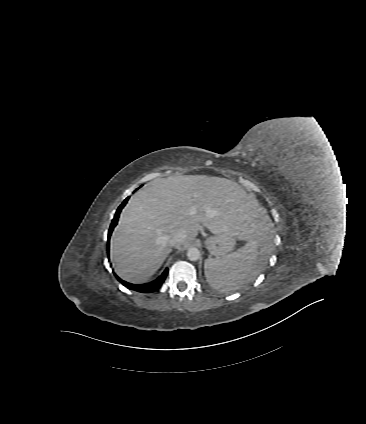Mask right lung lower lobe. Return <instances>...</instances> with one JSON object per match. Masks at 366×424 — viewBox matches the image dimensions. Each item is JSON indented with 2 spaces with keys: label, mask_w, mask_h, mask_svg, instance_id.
Listing matches in <instances>:
<instances>
[{
  "label": "right lung lower lobe",
  "mask_w": 366,
  "mask_h": 424,
  "mask_svg": "<svg viewBox=\"0 0 366 424\" xmlns=\"http://www.w3.org/2000/svg\"><path fill=\"white\" fill-rule=\"evenodd\" d=\"M128 199H129V197L124 200V202L119 206V208L116 211V214H115V216L112 220V223H111V226H110V229H109L108 240L110 239V235H111L114 227L116 226V224L118 222L119 214H120L122 208L125 206ZM167 273H168V268H166V270L163 272V274L158 279H156L155 281H153L151 283H147V284H142V285H133L131 283H128V282L121 280L117 276H116V278L127 288H129L131 290L138 291V292L145 293V292H151V291L158 289L162 285V283L164 282Z\"/></svg>",
  "instance_id": "98d812e1"
}]
</instances>
